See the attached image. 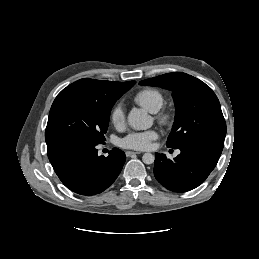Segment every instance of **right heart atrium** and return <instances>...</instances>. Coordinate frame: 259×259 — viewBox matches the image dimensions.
I'll return each instance as SVG.
<instances>
[{"instance_id": "right-heart-atrium-1", "label": "right heart atrium", "mask_w": 259, "mask_h": 259, "mask_svg": "<svg viewBox=\"0 0 259 259\" xmlns=\"http://www.w3.org/2000/svg\"><path fill=\"white\" fill-rule=\"evenodd\" d=\"M110 122L112 125L120 129L125 124V112L121 105H116L110 112Z\"/></svg>"}]
</instances>
